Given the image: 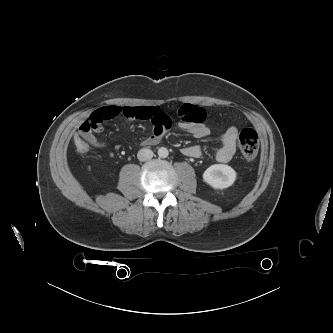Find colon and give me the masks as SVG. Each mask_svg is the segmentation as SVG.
Wrapping results in <instances>:
<instances>
[{
    "mask_svg": "<svg viewBox=\"0 0 333 333\" xmlns=\"http://www.w3.org/2000/svg\"><path fill=\"white\" fill-rule=\"evenodd\" d=\"M74 145L79 153H85L88 150L87 140L81 136L74 138ZM239 148L247 160L255 159L259 150V138L257 132L252 128H244L239 133Z\"/></svg>",
    "mask_w": 333,
    "mask_h": 333,
    "instance_id": "colon-1",
    "label": "colon"
}]
</instances>
